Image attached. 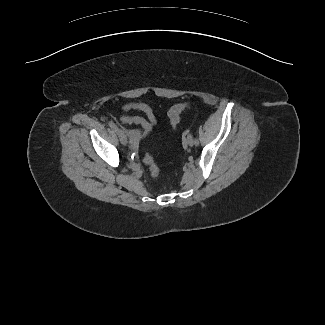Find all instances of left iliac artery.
<instances>
[{"mask_svg": "<svg viewBox=\"0 0 325 325\" xmlns=\"http://www.w3.org/2000/svg\"><path fill=\"white\" fill-rule=\"evenodd\" d=\"M195 144L198 145L199 144V141L197 139H195Z\"/></svg>", "mask_w": 325, "mask_h": 325, "instance_id": "left-iliac-artery-1", "label": "left iliac artery"}]
</instances>
